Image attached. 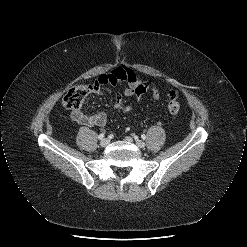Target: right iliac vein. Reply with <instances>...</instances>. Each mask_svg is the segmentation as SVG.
Listing matches in <instances>:
<instances>
[{"label": "right iliac vein", "instance_id": "obj_1", "mask_svg": "<svg viewBox=\"0 0 247 247\" xmlns=\"http://www.w3.org/2000/svg\"><path fill=\"white\" fill-rule=\"evenodd\" d=\"M109 143H110V140L108 138H105L100 142V145L101 147H107Z\"/></svg>", "mask_w": 247, "mask_h": 247}]
</instances>
